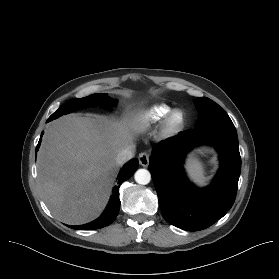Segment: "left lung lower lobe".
<instances>
[{
    "label": "left lung lower lobe",
    "mask_w": 279,
    "mask_h": 279,
    "mask_svg": "<svg viewBox=\"0 0 279 279\" xmlns=\"http://www.w3.org/2000/svg\"><path fill=\"white\" fill-rule=\"evenodd\" d=\"M202 143L219 152L220 169L211 186L197 189L183 172L185 154ZM149 170L164 219L187 231L214 224L232 207L241 170L236 129L232 124H210L180 132L153 148Z\"/></svg>",
    "instance_id": "0a47b994"
}]
</instances>
